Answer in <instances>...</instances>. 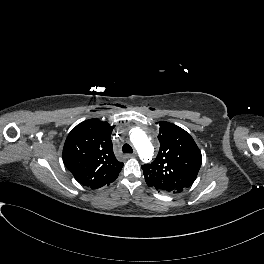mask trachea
<instances>
[{
    "label": "trachea",
    "mask_w": 264,
    "mask_h": 264,
    "mask_svg": "<svg viewBox=\"0 0 264 264\" xmlns=\"http://www.w3.org/2000/svg\"><path fill=\"white\" fill-rule=\"evenodd\" d=\"M124 153H133V149L129 144H124L122 147Z\"/></svg>",
    "instance_id": "trachea-1"
}]
</instances>
